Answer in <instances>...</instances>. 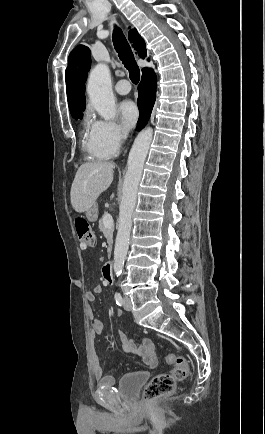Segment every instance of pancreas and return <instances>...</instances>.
<instances>
[{"label":"pancreas","mask_w":265,"mask_h":434,"mask_svg":"<svg viewBox=\"0 0 265 434\" xmlns=\"http://www.w3.org/2000/svg\"><path fill=\"white\" fill-rule=\"evenodd\" d=\"M100 232H103L105 238H107V244L109 246L108 248V254L110 256L111 254V250H112V244H113V232H114V228L112 226V228H105L104 226V222H103V218H101V220H99V226H98Z\"/></svg>","instance_id":"cf45deb5"}]
</instances>
